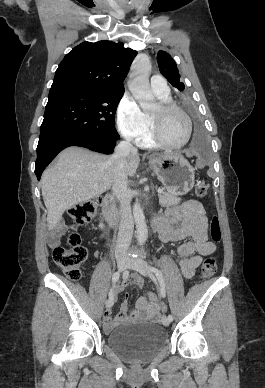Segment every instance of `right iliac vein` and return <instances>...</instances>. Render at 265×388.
<instances>
[{
  "label": "right iliac vein",
  "instance_id": "obj_1",
  "mask_svg": "<svg viewBox=\"0 0 265 388\" xmlns=\"http://www.w3.org/2000/svg\"><path fill=\"white\" fill-rule=\"evenodd\" d=\"M116 262H117L118 270L121 272L124 271L128 266V260L123 256H118L116 258ZM113 302H114L113 298H109L105 303L106 308H111L113 305Z\"/></svg>",
  "mask_w": 265,
  "mask_h": 388
}]
</instances>
